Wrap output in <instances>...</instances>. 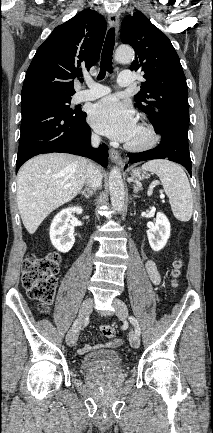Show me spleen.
<instances>
[{
  "instance_id": "1",
  "label": "spleen",
  "mask_w": 213,
  "mask_h": 433,
  "mask_svg": "<svg viewBox=\"0 0 213 433\" xmlns=\"http://www.w3.org/2000/svg\"><path fill=\"white\" fill-rule=\"evenodd\" d=\"M142 169L159 177L175 218L182 222L189 221L193 213V198L182 167L168 160H152L143 164Z\"/></svg>"
}]
</instances>
